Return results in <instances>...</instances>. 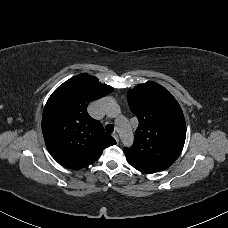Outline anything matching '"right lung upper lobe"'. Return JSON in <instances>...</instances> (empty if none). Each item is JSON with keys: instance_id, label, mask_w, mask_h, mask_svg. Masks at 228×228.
<instances>
[{"instance_id": "cb5924a9", "label": "right lung upper lobe", "mask_w": 228, "mask_h": 228, "mask_svg": "<svg viewBox=\"0 0 228 228\" xmlns=\"http://www.w3.org/2000/svg\"><path fill=\"white\" fill-rule=\"evenodd\" d=\"M112 90L84 73L64 82L49 97L42 131L46 147L58 163L75 170L84 168L95 162L103 149L116 144L101 123L87 113L91 101Z\"/></svg>"}]
</instances>
